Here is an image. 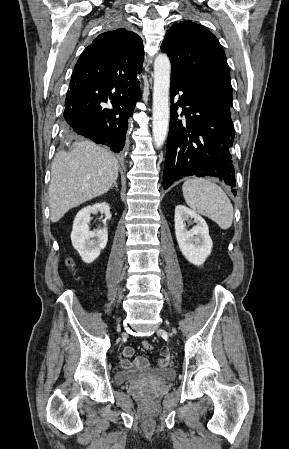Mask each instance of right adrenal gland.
Listing matches in <instances>:
<instances>
[{
    "mask_svg": "<svg viewBox=\"0 0 289 449\" xmlns=\"http://www.w3.org/2000/svg\"><path fill=\"white\" fill-rule=\"evenodd\" d=\"M113 187H115L116 189L118 188V184H117V182H116V181L114 182V184L112 185V187H111V188H113Z\"/></svg>",
    "mask_w": 289,
    "mask_h": 449,
    "instance_id": "right-adrenal-gland-1",
    "label": "right adrenal gland"
}]
</instances>
